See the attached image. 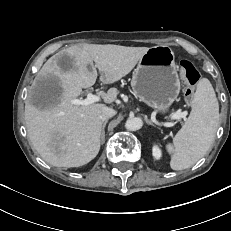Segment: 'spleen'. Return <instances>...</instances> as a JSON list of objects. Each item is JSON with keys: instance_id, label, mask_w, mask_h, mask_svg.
Listing matches in <instances>:
<instances>
[{"instance_id": "1", "label": "spleen", "mask_w": 231, "mask_h": 231, "mask_svg": "<svg viewBox=\"0 0 231 231\" xmlns=\"http://www.w3.org/2000/svg\"><path fill=\"white\" fill-rule=\"evenodd\" d=\"M190 115L166 149L172 155L170 166L183 170L202 158L211 144L219 123V104L210 81L201 79L192 100Z\"/></svg>"}]
</instances>
